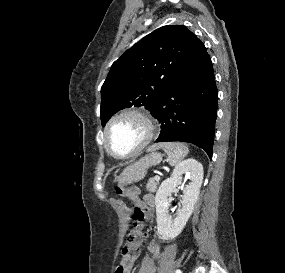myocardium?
I'll list each match as a JSON object with an SVG mask.
<instances>
[{
  "instance_id": "obj_1",
  "label": "myocardium",
  "mask_w": 285,
  "mask_h": 273,
  "mask_svg": "<svg viewBox=\"0 0 285 273\" xmlns=\"http://www.w3.org/2000/svg\"><path fill=\"white\" fill-rule=\"evenodd\" d=\"M126 116H133L138 118L145 127V135L143 137V139L141 140V142L128 154H124V155H119L116 154L112 151L109 142H108V134H109V130L111 128V126L119 119L126 117ZM157 129H158V125L157 122L155 120V118L146 110L144 109H140V108H126L123 109L121 111H119L118 113H116L115 115H113L109 121L107 122V124L104 127L103 130V144L105 147V150L114 158L117 159H127V158H131L133 156H135L136 154H138L141 150H143L151 141L152 139L155 137L156 133H157Z\"/></svg>"
}]
</instances>
